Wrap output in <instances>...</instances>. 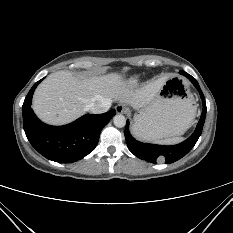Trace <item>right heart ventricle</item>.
<instances>
[{"label":"right heart ventricle","mask_w":233,"mask_h":233,"mask_svg":"<svg viewBox=\"0 0 233 233\" xmlns=\"http://www.w3.org/2000/svg\"><path fill=\"white\" fill-rule=\"evenodd\" d=\"M138 82V77H132L130 80H129V84L130 85H134Z\"/></svg>","instance_id":"1"}]
</instances>
